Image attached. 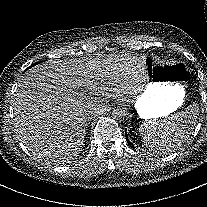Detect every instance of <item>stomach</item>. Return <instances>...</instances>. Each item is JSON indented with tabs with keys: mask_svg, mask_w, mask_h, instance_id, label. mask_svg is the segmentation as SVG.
Here are the masks:
<instances>
[{
	"mask_svg": "<svg viewBox=\"0 0 207 207\" xmlns=\"http://www.w3.org/2000/svg\"><path fill=\"white\" fill-rule=\"evenodd\" d=\"M143 67L148 84L135 107L139 117L148 122L167 116L183 104L190 73L183 62L161 63L154 56L145 57Z\"/></svg>",
	"mask_w": 207,
	"mask_h": 207,
	"instance_id": "1",
	"label": "stomach"
}]
</instances>
